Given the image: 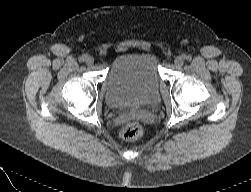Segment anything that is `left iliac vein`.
I'll return each mask as SVG.
<instances>
[{
  "mask_svg": "<svg viewBox=\"0 0 251 192\" xmlns=\"http://www.w3.org/2000/svg\"><path fill=\"white\" fill-rule=\"evenodd\" d=\"M174 63L176 66H182L184 64V58L182 56H177Z\"/></svg>",
  "mask_w": 251,
  "mask_h": 192,
  "instance_id": "obj_1",
  "label": "left iliac vein"
}]
</instances>
